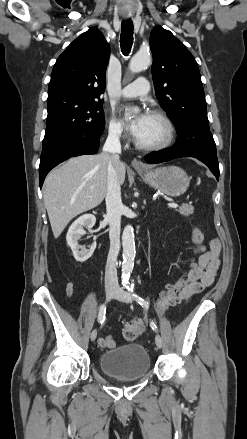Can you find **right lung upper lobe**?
<instances>
[{"instance_id": "cb5924a9", "label": "right lung upper lobe", "mask_w": 247, "mask_h": 439, "mask_svg": "<svg viewBox=\"0 0 247 439\" xmlns=\"http://www.w3.org/2000/svg\"><path fill=\"white\" fill-rule=\"evenodd\" d=\"M109 54V45L97 28L82 33L54 65L47 106L66 100L100 101Z\"/></svg>"}]
</instances>
